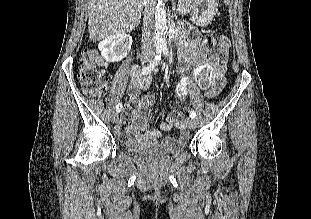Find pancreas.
I'll use <instances>...</instances> for the list:
<instances>
[{
  "label": "pancreas",
  "instance_id": "obj_1",
  "mask_svg": "<svg viewBox=\"0 0 311 219\" xmlns=\"http://www.w3.org/2000/svg\"><path fill=\"white\" fill-rule=\"evenodd\" d=\"M191 0H179L178 11L187 13L190 10Z\"/></svg>",
  "mask_w": 311,
  "mask_h": 219
}]
</instances>
